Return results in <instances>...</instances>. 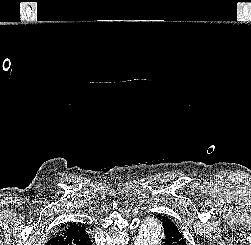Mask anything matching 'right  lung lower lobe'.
Segmentation results:
<instances>
[{"label":"right lung lower lobe","mask_w":251,"mask_h":245,"mask_svg":"<svg viewBox=\"0 0 251 245\" xmlns=\"http://www.w3.org/2000/svg\"><path fill=\"white\" fill-rule=\"evenodd\" d=\"M61 229L50 238L47 245H92L90 238L83 227L80 229H68L65 231H62Z\"/></svg>","instance_id":"98d812e1"}]
</instances>
